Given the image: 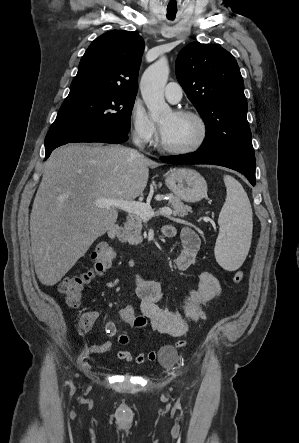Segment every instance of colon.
Listing matches in <instances>:
<instances>
[{
	"instance_id": "obj_1",
	"label": "colon",
	"mask_w": 299,
	"mask_h": 443,
	"mask_svg": "<svg viewBox=\"0 0 299 443\" xmlns=\"http://www.w3.org/2000/svg\"><path fill=\"white\" fill-rule=\"evenodd\" d=\"M115 258L116 251L114 247L107 241L100 242L92 253L93 265L90 269L79 271L62 279L58 290L64 297L68 307L76 308L79 306L85 285L95 276L105 273L112 266ZM243 280L244 272L241 270L236 271L233 275V282L241 283ZM118 316L121 324L132 330H137L141 324V318L132 306L121 308ZM91 323V317L88 314L82 315L78 322L82 330L89 328ZM160 357L163 361L169 363L175 356L171 348H165L161 351Z\"/></svg>"
}]
</instances>
